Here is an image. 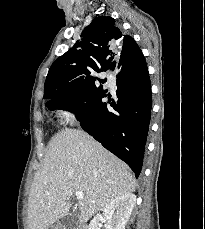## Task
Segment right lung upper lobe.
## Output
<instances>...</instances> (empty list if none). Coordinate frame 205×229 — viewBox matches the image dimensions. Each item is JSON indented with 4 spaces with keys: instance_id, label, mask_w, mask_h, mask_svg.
Segmentation results:
<instances>
[{
    "instance_id": "cb5924a9",
    "label": "right lung upper lobe",
    "mask_w": 205,
    "mask_h": 229,
    "mask_svg": "<svg viewBox=\"0 0 205 229\" xmlns=\"http://www.w3.org/2000/svg\"><path fill=\"white\" fill-rule=\"evenodd\" d=\"M142 58L135 40L124 35L112 17H97L83 30L80 40L52 64L44 85V99L70 95L80 85L99 79L98 73L116 66L135 68Z\"/></svg>"
}]
</instances>
